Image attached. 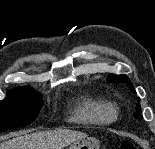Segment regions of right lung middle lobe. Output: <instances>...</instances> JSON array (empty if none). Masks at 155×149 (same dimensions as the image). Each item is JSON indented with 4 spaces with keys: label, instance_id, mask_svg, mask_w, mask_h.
<instances>
[{
    "label": "right lung middle lobe",
    "instance_id": "1",
    "mask_svg": "<svg viewBox=\"0 0 155 149\" xmlns=\"http://www.w3.org/2000/svg\"><path fill=\"white\" fill-rule=\"evenodd\" d=\"M42 104L41 95L29 87L9 91L6 98L0 101V131L31 124Z\"/></svg>",
    "mask_w": 155,
    "mask_h": 149
}]
</instances>
